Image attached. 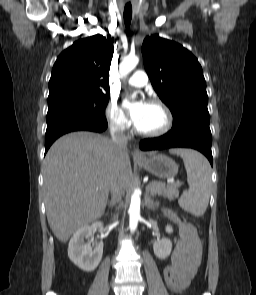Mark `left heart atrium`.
Returning <instances> with one entry per match:
<instances>
[{
	"label": "left heart atrium",
	"mask_w": 256,
	"mask_h": 295,
	"mask_svg": "<svg viewBox=\"0 0 256 295\" xmlns=\"http://www.w3.org/2000/svg\"><path fill=\"white\" fill-rule=\"evenodd\" d=\"M147 105L148 104L142 100L136 102L125 101V107L128 111L130 120L135 126H137L143 118Z\"/></svg>",
	"instance_id": "obj_1"
}]
</instances>
